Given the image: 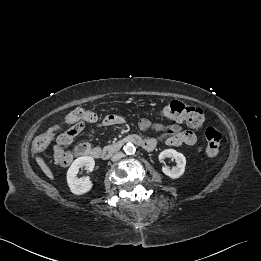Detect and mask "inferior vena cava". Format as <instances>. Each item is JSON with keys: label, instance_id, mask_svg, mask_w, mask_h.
Masks as SVG:
<instances>
[{"label": "inferior vena cava", "instance_id": "obj_1", "mask_svg": "<svg viewBox=\"0 0 261 261\" xmlns=\"http://www.w3.org/2000/svg\"><path fill=\"white\" fill-rule=\"evenodd\" d=\"M122 157H123V153L122 152H118V153H116V154H114L112 156L111 160L113 162H115V161H118L119 159H121Z\"/></svg>", "mask_w": 261, "mask_h": 261}]
</instances>
